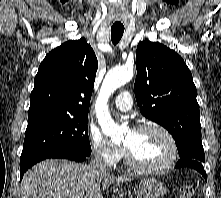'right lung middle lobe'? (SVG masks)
Listing matches in <instances>:
<instances>
[{
  "label": "right lung middle lobe",
  "mask_w": 221,
  "mask_h": 198,
  "mask_svg": "<svg viewBox=\"0 0 221 198\" xmlns=\"http://www.w3.org/2000/svg\"><path fill=\"white\" fill-rule=\"evenodd\" d=\"M87 120L88 116L44 117L28 122L20 164L54 149L72 150L90 156Z\"/></svg>",
  "instance_id": "1"
}]
</instances>
